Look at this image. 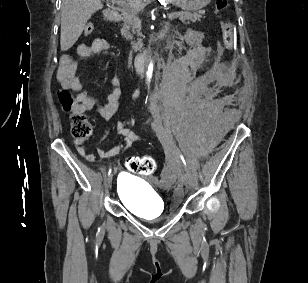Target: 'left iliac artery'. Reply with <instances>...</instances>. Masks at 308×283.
<instances>
[{"label":"left iliac artery","mask_w":308,"mask_h":283,"mask_svg":"<svg viewBox=\"0 0 308 283\" xmlns=\"http://www.w3.org/2000/svg\"><path fill=\"white\" fill-rule=\"evenodd\" d=\"M180 157H181L182 162L184 163V165H185L186 168H187V164H186V161H185L184 157H183L181 154H180Z\"/></svg>","instance_id":"1"}]
</instances>
